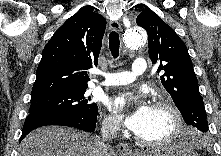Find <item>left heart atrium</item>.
Returning a JSON list of instances; mask_svg holds the SVG:
<instances>
[{"label":"left heart atrium","mask_w":221,"mask_h":156,"mask_svg":"<svg viewBox=\"0 0 221 156\" xmlns=\"http://www.w3.org/2000/svg\"><path fill=\"white\" fill-rule=\"evenodd\" d=\"M108 107L131 131L139 134L150 120L153 108L133 93H125L108 101Z\"/></svg>","instance_id":"left-heart-atrium-1"}]
</instances>
